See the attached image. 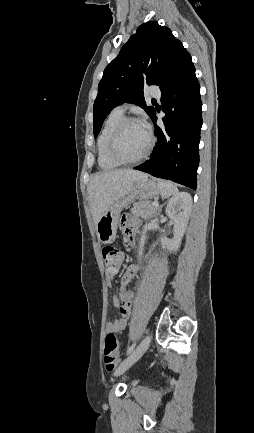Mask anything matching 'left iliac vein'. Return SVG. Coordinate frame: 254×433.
Returning a JSON list of instances; mask_svg holds the SVG:
<instances>
[{
	"label": "left iliac vein",
	"mask_w": 254,
	"mask_h": 433,
	"mask_svg": "<svg viewBox=\"0 0 254 433\" xmlns=\"http://www.w3.org/2000/svg\"><path fill=\"white\" fill-rule=\"evenodd\" d=\"M150 335L144 337L139 345L131 352V354L122 362L116 371V376L121 375L129 369L148 349L150 344Z\"/></svg>",
	"instance_id": "obj_1"
}]
</instances>
